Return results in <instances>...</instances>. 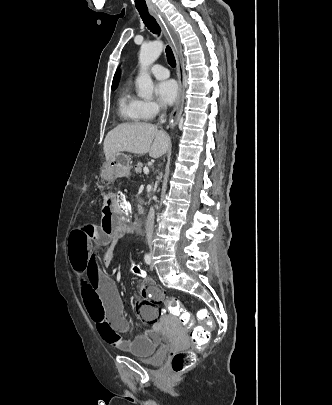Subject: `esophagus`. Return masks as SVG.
<instances>
[{
    "label": "esophagus",
    "instance_id": "obj_1",
    "mask_svg": "<svg viewBox=\"0 0 332 405\" xmlns=\"http://www.w3.org/2000/svg\"><path fill=\"white\" fill-rule=\"evenodd\" d=\"M151 14L155 17L161 29L168 40L169 44L171 45L173 52L175 54L177 67H178V78H179V95L177 98L176 105L170 115L169 119V126L173 128L178 123L183 103H184V59L182 53V46L180 43V38L178 33L174 30L172 25L169 23L166 16L160 12L159 10H151Z\"/></svg>",
    "mask_w": 332,
    "mask_h": 405
}]
</instances>
